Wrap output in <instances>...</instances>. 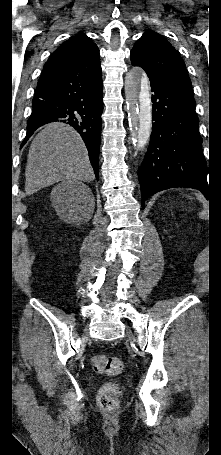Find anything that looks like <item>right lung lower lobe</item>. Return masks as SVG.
<instances>
[{
	"label": "right lung lower lobe",
	"mask_w": 221,
	"mask_h": 455,
	"mask_svg": "<svg viewBox=\"0 0 221 455\" xmlns=\"http://www.w3.org/2000/svg\"><path fill=\"white\" fill-rule=\"evenodd\" d=\"M102 94L99 55L86 57L39 79L23 144L42 125L65 122L84 140L98 180Z\"/></svg>",
	"instance_id": "right-lung-lower-lobe-1"
}]
</instances>
